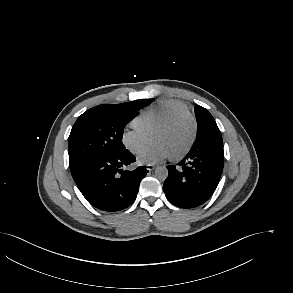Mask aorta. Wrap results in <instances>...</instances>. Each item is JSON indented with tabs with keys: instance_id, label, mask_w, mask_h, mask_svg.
Masks as SVG:
<instances>
[{
	"instance_id": "aorta-1",
	"label": "aorta",
	"mask_w": 293,
	"mask_h": 293,
	"mask_svg": "<svg viewBox=\"0 0 293 293\" xmlns=\"http://www.w3.org/2000/svg\"><path fill=\"white\" fill-rule=\"evenodd\" d=\"M155 177L159 180H165L168 177V170L164 166H159L155 169Z\"/></svg>"
}]
</instances>
